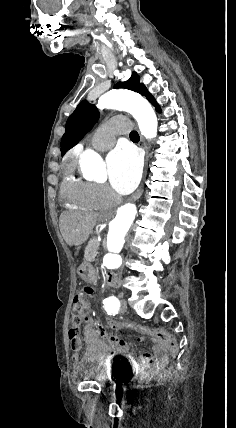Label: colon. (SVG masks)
I'll return each instance as SVG.
<instances>
[{
	"label": "colon",
	"mask_w": 236,
	"mask_h": 428,
	"mask_svg": "<svg viewBox=\"0 0 236 428\" xmlns=\"http://www.w3.org/2000/svg\"><path fill=\"white\" fill-rule=\"evenodd\" d=\"M92 294V289L89 286L81 287L73 300L72 317H71V328L69 330V338L75 339L78 336L80 327L85 322L86 310L88 308V298ZM106 323L111 328H122L128 327L138 330L144 334H148L163 344L171 354L173 358L178 355L179 347L175 338L169 333L160 330L149 328L137 323H123L116 320H106ZM169 375V370H163L156 377L157 380H163Z\"/></svg>",
	"instance_id": "colon-1"
}]
</instances>
